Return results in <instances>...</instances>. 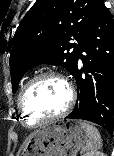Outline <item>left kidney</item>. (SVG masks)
I'll list each match as a JSON object with an SVG mask.
<instances>
[{
	"label": "left kidney",
	"instance_id": "left-kidney-1",
	"mask_svg": "<svg viewBox=\"0 0 114 156\" xmlns=\"http://www.w3.org/2000/svg\"><path fill=\"white\" fill-rule=\"evenodd\" d=\"M84 156H106V155L96 151V152L87 153Z\"/></svg>",
	"mask_w": 114,
	"mask_h": 156
}]
</instances>
